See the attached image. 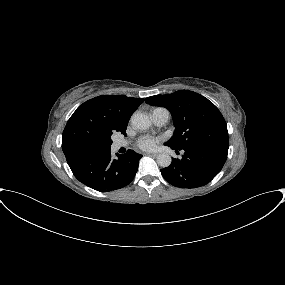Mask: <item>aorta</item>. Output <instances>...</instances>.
Returning a JSON list of instances; mask_svg holds the SVG:
<instances>
[{"mask_svg": "<svg viewBox=\"0 0 285 285\" xmlns=\"http://www.w3.org/2000/svg\"><path fill=\"white\" fill-rule=\"evenodd\" d=\"M131 124L135 129L147 130L151 126L149 117L141 112H136L131 116ZM157 164L163 168L168 167L171 162V156L167 153H161L157 156Z\"/></svg>", "mask_w": 285, "mask_h": 285, "instance_id": "obj_1", "label": "aorta"}]
</instances>
